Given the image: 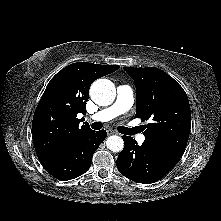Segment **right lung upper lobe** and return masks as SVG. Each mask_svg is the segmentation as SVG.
Masks as SVG:
<instances>
[{"label":"right lung upper lobe","instance_id":"obj_1","mask_svg":"<svg viewBox=\"0 0 221 221\" xmlns=\"http://www.w3.org/2000/svg\"><path fill=\"white\" fill-rule=\"evenodd\" d=\"M120 66L77 62L58 72L48 83L32 122L34 147L40 162L49 160L81 136L91 131L79 126L78 113H86V101L93 81L108 75Z\"/></svg>","mask_w":221,"mask_h":221}]
</instances>
